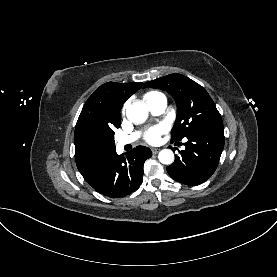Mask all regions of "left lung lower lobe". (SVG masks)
I'll use <instances>...</instances> for the list:
<instances>
[{
	"mask_svg": "<svg viewBox=\"0 0 277 277\" xmlns=\"http://www.w3.org/2000/svg\"><path fill=\"white\" fill-rule=\"evenodd\" d=\"M187 139L181 157L176 156L167 172L180 183L196 186L210 178L218 166L224 147L223 124L203 128Z\"/></svg>",
	"mask_w": 277,
	"mask_h": 277,
	"instance_id": "1",
	"label": "left lung lower lobe"
}]
</instances>
